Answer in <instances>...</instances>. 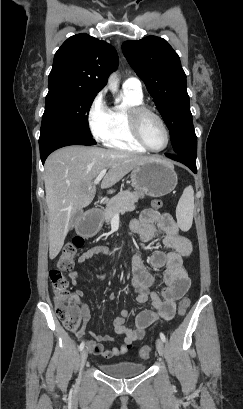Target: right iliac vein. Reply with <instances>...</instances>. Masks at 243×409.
<instances>
[{
  "label": "right iliac vein",
  "mask_w": 243,
  "mask_h": 409,
  "mask_svg": "<svg viewBox=\"0 0 243 409\" xmlns=\"http://www.w3.org/2000/svg\"><path fill=\"white\" fill-rule=\"evenodd\" d=\"M87 358H88V351H87V349H84L81 352V355H80V367H81V369L83 368L85 362L87 361Z\"/></svg>",
  "instance_id": "63e3f726"
}]
</instances>
